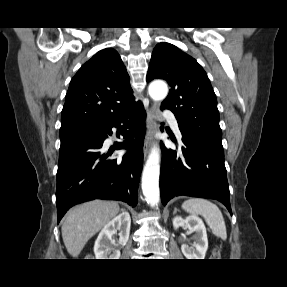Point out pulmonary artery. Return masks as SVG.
<instances>
[{"label":"pulmonary artery","instance_id":"e3ab8cb5","mask_svg":"<svg viewBox=\"0 0 287 287\" xmlns=\"http://www.w3.org/2000/svg\"><path fill=\"white\" fill-rule=\"evenodd\" d=\"M165 115H167L169 118H170V123H171V126L173 128V130L178 134L180 135V131H179V126H178V122L176 120L175 117H173L170 112L168 111H165Z\"/></svg>","mask_w":287,"mask_h":287}]
</instances>
